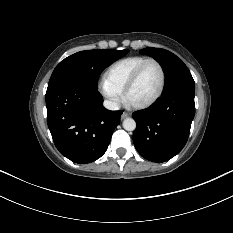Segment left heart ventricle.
Listing matches in <instances>:
<instances>
[{
  "label": "left heart ventricle",
  "mask_w": 233,
  "mask_h": 233,
  "mask_svg": "<svg viewBox=\"0 0 233 233\" xmlns=\"http://www.w3.org/2000/svg\"><path fill=\"white\" fill-rule=\"evenodd\" d=\"M161 84V73L154 63L147 65L141 76L130 90L128 101L131 104H142L158 92Z\"/></svg>",
  "instance_id": "b2bd125f"
}]
</instances>
